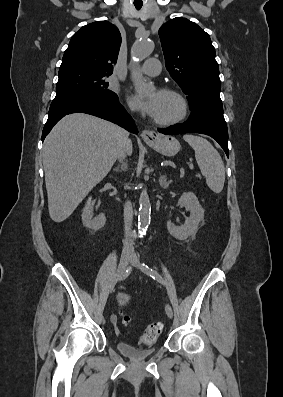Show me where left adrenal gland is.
Returning <instances> with one entry per match:
<instances>
[{
	"mask_svg": "<svg viewBox=\"0 0 283 397\" xmlns=\"http://www.w3.org/2000/svg\"><path fill=\"white\" fill-rule=\"evenodd\" d=\"M171 182V180L167 181L166 175H161L159 178V184L162 188H168Z\"/></svg>",
	"mask_w": 283,
	"mask_h": 397,
	"instance_id": "obj_1",
	"label": "left adrenal gland"
}]
</instances>
